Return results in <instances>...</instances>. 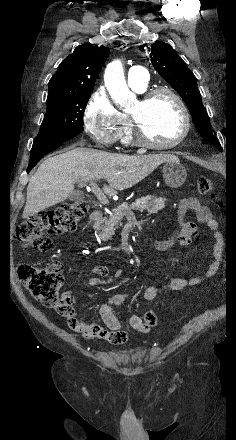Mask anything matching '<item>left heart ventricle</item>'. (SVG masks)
<instances>
[{"instance_id":"1","label":"left heart ventricle","mask_w":236,"mask_h":440,"mask_svg":"<svg viewBox=\"0 0 236 440\" xmlns=\"http://www.w3.org/2000/svg\"><path fill=\"white\" fill-rule=\"evenodd\" d=\"M136 116L147 138L158 144L174 141L183 129V118L176 102L166 94L159 95L148 104L138 101L130 111Z\"/></svg>"}]
</instances>
